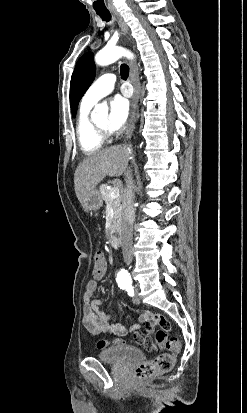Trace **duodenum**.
<instances>
[{
	"mask_svg": "<svg viewBox=\"0 0 247 413\" xmlns=\"http://www.w3.org/2000/svg\"><path fill=\"white\" fill-rule=\"evenodd\" d=\"M108 239H109V242L112 245L120 244L121 235H120V232H119L118 228L113 227V228L110 229Z\"/></svg>",
	"mask_w": 247,
	"mask_h": 413,
	"instance_id": "obj_1",
	"label": "duodenum"
}]
</instances>
